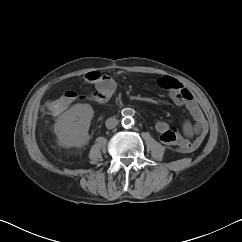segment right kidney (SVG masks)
Listing matches in <instances>:
<instances>
[{"instance_id":"ca27d5eb","label":"right kidney","mask_w":242,"mask_h":242,"mask_svg":"<svg viewBox=\"0 0 242 242\" xmlns=\"http://www.w3.org/2000/svg\"><path fill=\"white\" fill-rule=\"evenodd\" d=\"M94 110L89 104H75L59 116L54 132L62 147H83L88 144V130Z\"/></svg>"}]
</instances>
